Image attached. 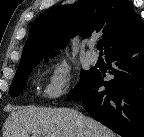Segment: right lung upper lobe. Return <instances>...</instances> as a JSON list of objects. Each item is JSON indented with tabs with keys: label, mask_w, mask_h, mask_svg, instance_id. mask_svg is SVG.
Listing matches in <instances>:
<instances>
[{
	"label": "right lung upper lobe",
	"mask_w": 144,
	"mask_h": 137,
	"mask_svg": "<svg viewBox=\"0 0 144 137\" xmlns=\"http://www.w3.org/2000/svg\"><path fill=\"white\" fill-rule=\"evenodd\" d=\"M97 33L102 34L106 54L144 36V24L128 0H80L52 7L32 24L19 66L64 47L70 36Z\"/></svg>",
	"instance_id": "obj_1"
}]
</instances>
